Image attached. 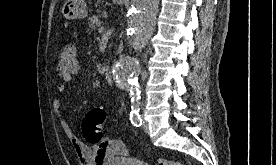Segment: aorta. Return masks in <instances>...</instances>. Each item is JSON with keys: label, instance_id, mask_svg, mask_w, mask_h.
Segmentation results:
<instances>
[{"label": "aorta", "instance_id": "762f6f07", "mask_svg": "<svg viewBox=\"0 0 276 165\" xmlns=\"http://www.w3.org/2000/svg\"><path fill=\"white\" fill-rule=\"evenodd\" d=\"M132 6V44L135 49H142L151 38L158 13L159 0H131ZM140 71L139 63L130 58L117 61L112 68L116 82L126 85L132 101H138L140 90L137 76Z\"/></svg>", "mask_w": 276, "mask_h": 165}]
</instances>
